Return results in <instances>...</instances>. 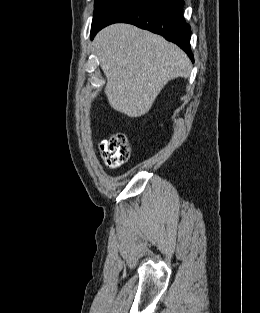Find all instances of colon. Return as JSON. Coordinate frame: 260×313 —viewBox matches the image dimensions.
I'll return each instance as SVG.
<instances>
[{
  "mask_svg": "<svg viewBox=\"0 0 260 313\" xmlns=\"http://www.w3.org/2000/svg\"><path fill=\"white\" fill-rule=\"evenodd\" d=\"M99 149L109 169L120 167L130 156L127 136L124 133L113 134L109 139L102 141Z\"/></svg>",
  "mask_w": 260,
  "mask_h": 313,
  "instance_id": "obj_1",
  "label": "colon"
}]
</instances>
